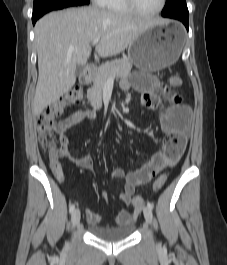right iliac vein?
Segmentation results:
<instances>
[{
    "label": "right iliac vein",
    "instance_id": "63e3f726",
    "mask_svg": "<svg viewBox=\"0 0 227 265\" xmlns=\"http://www.w3.org/2000/svg\"><path fill=\"white\" fill-rule=\"evenodd\" d=\"M80 218H81L80 210L75 209L72 213V216H71V223H72L73 227H75L76 225L79 224Z\"/></svg>",
    "mask_w": 227,
    "mask_h": 265
}]
</instances>
